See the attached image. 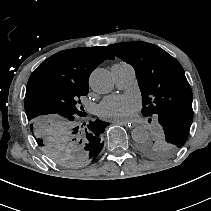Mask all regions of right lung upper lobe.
I'll list each match as a JSON object with an SVG mask.
<instances>
[{
    "mask_svg": "<svg viewBox=\"0 0 211 211\" xmlns=\"http://www.w3.org/2000/svg\"><path fill=\"white\" fill-rule=\"evenodd\" d=\"M114 59L104 46L60 51L43 61L30 76L25 95V112H29L31 91L41 84L72 85L88 90L92 71L104 60Z\"/></svg>",
    "mask_w": 211,
    "mask_h": 211,
    "instance_id": "1",
    "label": "right lung upper lobe"
}]
</instances>
